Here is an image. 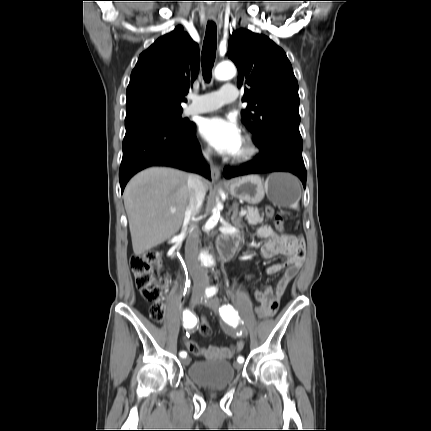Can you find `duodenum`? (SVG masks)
I'll use <instances>...</instances> for the list:
<instances>
[{"instance_id": "410a0bca", "label": "duodenum", "mask_w": 431, "mask_h": 431, "mask_svg": "<svg viewBox=\"0 0 431 431\" xmlns=\"http://www.w3.org/2000/svg\"><path fill=\"white\" fill-rule=\"evenodd\" d=\"M238 245V238L235 236H225L219 243V251L223 258L229 259L233 256Z\"/></svg>"}]
</instances>
